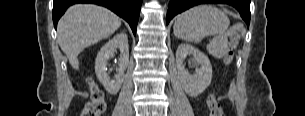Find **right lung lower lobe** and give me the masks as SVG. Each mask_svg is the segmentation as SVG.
Masks as SVG:
<instances>
[{
    "instance_id": "right-lung-lower-lobe-1",
    "label": "right lung lower lobe",
    "mask_w": 305,
    "mask_h": 116,
    "mask_svg": "<svg viewBox=\"0 0 305 116\" xmlns=\"http://www.w3.org/2000/svg\"><path fill=\"white\" fill-rule=\"evenodd\" d=\"M76 3H93L109 8L124 18L129 23L133 33L136 34L142 0H54L52 17L55 28L66 9Z\"/></svg>"
}]
</instances>
